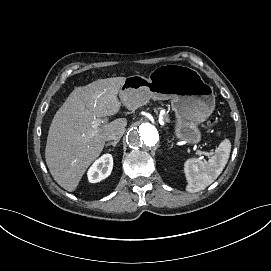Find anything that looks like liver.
I'll return each instance as SVG.
<instances>
[{"label":"liver","instance_id":"6515ba94","mask_svg":"<svg viewBox=\"0 0 271 271\" xmlns=\"http://www.w3.org/2000/svg\"><path fill=\"white\" fill-rule=\"evenodd\" d=\"M125 77L99 79L75 88L56 112L45 148L46 163L54 180L72 192L89 165L100 155L106 137L124 132V118L96 125L95 117L118 113V91Z\"/></svg>","mask_w":271,"mask_h":271}]
</instances>
